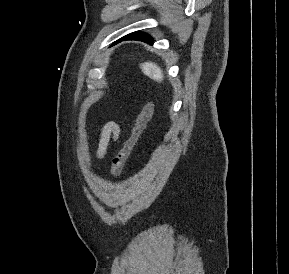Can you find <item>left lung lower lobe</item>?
<instances>
[{
    "instance_id": "left-lung-lower-lobe-1",
    "label": "left lung lower lobe",
    "mask_w": 289,
    "mask_h": 274,
    "mask_svg": "<svg viewBox=\"0 0 289 274\" xmlns=\"http://www.w3.org/2000/svg\"><path fill=\"white\" fill-rule=\"evenodd\" d=\"M125 40H140V41L147 42L149 44H152V42H153L152 37H150L149 35H147L145 33H141V32H135V33H131V34L121 38L116 43H119V42L125 41ZM116 43H114V44H116Z\"/></svg>"
}]
</instances>
